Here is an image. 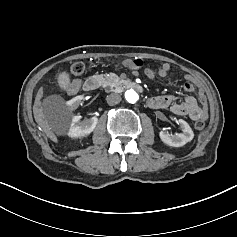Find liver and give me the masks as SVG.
Returning <instances> with one entry per match:
<instances>
[{"label":"liver","mask_w":237,"mask_h":237,"mask_svg":"<svg viewBox=\"0 0 237 237\" xmlns=\"http://www.w3.org/2000/svg\"><path fill=\"white\" fill-rule=\"evenodd\" d=\"M35 107H36V106H35ZM34 114H35V119H37V118L40 116L39 113H37V112H35ZM45 132H46L47 137H48L52 142H54V143H56V144L59 142V141H58V138H57V136H56V134H55L51 129H46Z\"/></svg>","instance_id":"obj_1"}]
</instances>
